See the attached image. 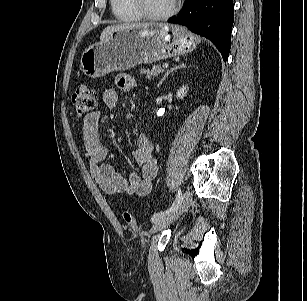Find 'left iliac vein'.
Here are the masks:
<instances>
[{
  "mask_svg": "<svg viewBox=\"0 0 307 301\" xmlns=\"http://www.w3.org/2000/svg\"><path fill=\"white\" fill-rule=\"evenodd\" d=\"M191 204V193L186 191L181 197L179 203L168 213H166L162 218L157 220L152 228L151 233H157L168 226L170 223L175 221Z\"/></svg>",
  "mask_w": 307,
  "mask_h": 301,
  "instance_id": "1",
  "label": "left iliac vein"
}]
</instances>
